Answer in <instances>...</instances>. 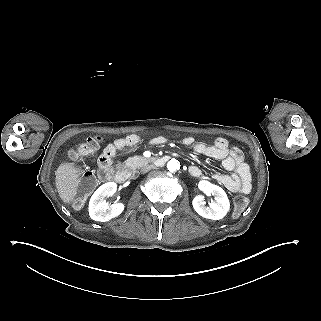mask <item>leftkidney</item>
<instances>
[{
    "instance_id": "1",
    "label": "left kidney",
    "mask_w": 321,
    "mask_h": 321,
    "mask_svg": "<svg viewBox=\"0 0 321 321\" xmlns=\"http://www.w3.org/2000/svg\"><path fill=\"white\" fill-rule=\"evenodd\" d=\"M199 188L208 196L213 197V200L206 205L202 196H198L193 200L194 210L203 218L211 220L223 219L230 210V202L225 191L208 181H200Z\"/></svg>"
}]
</instances>
